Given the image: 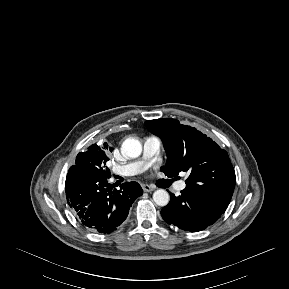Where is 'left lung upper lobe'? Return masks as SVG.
I'll use <instances>...</instances> for the list:
<instances>
[{"label":"left lung upper lobe","instance_id":"left-lung-upper-lobe-1","mask_svg":"<svg viewBox=\"0 0 289 289\" xmlns=\"http://www.w3.org/2000/svg\"><path fill=\"white\" fill-rule=\"evenodd\" d=\"M145 125L162 139L167 161L161 171L166 176L187 172L186 188L230 203L236 177L225 150L196 128L176 119L149 120Z\"/></svg>","mask_w":289,"mask_h":289}]
</instances>
